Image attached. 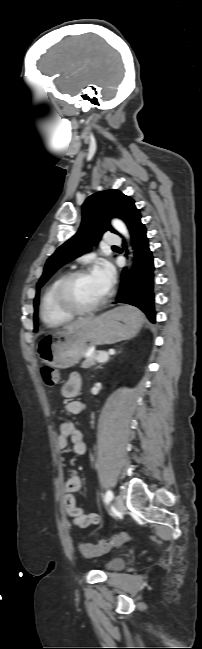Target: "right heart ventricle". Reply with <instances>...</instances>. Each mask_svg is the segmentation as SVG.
Listing matches in <instances>:
<instances>
[{
	"instance_id": "right-heart-ventricle-1",
	"label": "right heart ventricle",
	"mask_w": 202,
	"mask_h": 649,
	"mask_svg": "<svg viewBox=\"0 0 202 649\" xmlns=\"http://www.w3.org/2000/svg\"><path fill=\"white\" fill-rule=\"evenodd\" d=\"M63 277V274L55 277L46 286L41 297V318L50 327L61 326L73 319V315L63 310L56 299V289Z\"/></svg>"
}]
</instances>
